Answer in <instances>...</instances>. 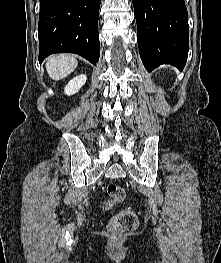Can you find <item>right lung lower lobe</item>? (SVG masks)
<instances>
[{
  "instance_id": "1",
  "label": "right lung lower lobe",
  "mask_w": 221,
  "mask_h": 263,
  "mask_svg": "<svg viewBox=\"0 0 221 263\" xmlns=\"http://www.w3.org/2000/svg\"><path fill=\"white\" fill-rule=\"evenodd\" d=\"M101 0H40L39 62L54 53H75L96 65L100 56Z\"/></svg>"
}]
</instances>
